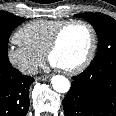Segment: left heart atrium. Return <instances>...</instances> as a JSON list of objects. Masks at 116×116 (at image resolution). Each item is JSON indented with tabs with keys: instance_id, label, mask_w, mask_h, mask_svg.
I'll return each mask as SVG.
<instances>
[{
	"instance_id": "obj_1",
	"label": "left heart atrium",
	"mask_w": 116,
	"mask_h": 116,
	"mask_svg": "<svg viewBox=\"0 0 116 116\" xmlns=\"http://www.w3.org/2000/svg\"><path fill=\"white\" fill-rule=\"evenodd\" d=\"M50 66L55 69H60V67L52 61H50Z\"/></svg>"
}]
</instances>
